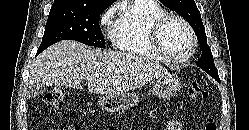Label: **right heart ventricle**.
Segmentation results:
<instances>
[{"label": "right heart ventricle", "instance_id": "1", "mask_svg": "<svg viewBox=\"0 0 249 130\" xmlns=\"http://www.w3.org/2000/svg\"><path fill=\"white\" fill-rule=\"evenodd\" d=\"M166 14L156 0H132L122 8L111 31L113 46L120 52L160 59L150 40L153 22Z\"/></svg>", "mask_w": 249, "mask_h": 130}]
</instances>
